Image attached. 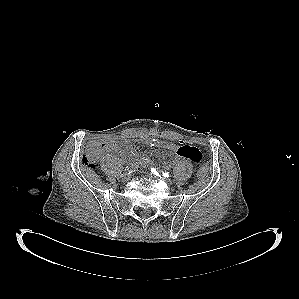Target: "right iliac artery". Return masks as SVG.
<instances>
[{
	"mask_svg": "<svg viewBox=\"0 0 299 299\" xmlns=\"http://www.w3.org/2000/svg\"><path fill=\"white\" fill-rule=\"evenodd\" d=\"M137 168H138V164L137 163H131V164H129V165L126 166L125 172L127 174H130L133 171H135Z\"/></svg>",
	"mask_w": 299,
	"mask_h": 299,
	"instance_id": "1",
	"label": "right iliac artery"
}]
</instances>
